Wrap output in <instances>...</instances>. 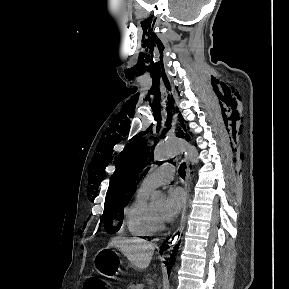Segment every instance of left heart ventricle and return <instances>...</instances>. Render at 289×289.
<instances>
[{
  "label": "left heart ventricle",
  "instance_id": "b2bd125f",
  "mask_svg": "<svg viewBox=\"0 0 289 289\" xmlns=\"http://www.w3.org/2000/svg\"><path fill=\"white\" fill-rule=\"evenodd\" d=\"M164 200H158L154 203L151 204V207L155 213V215L157 216V218L161 221H164L163 220V209H164Z\"/></svg>",
  "mask_w": 289,
  "mask_h": 289
}]
</instances>
